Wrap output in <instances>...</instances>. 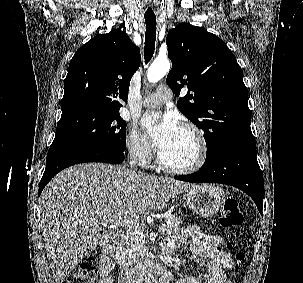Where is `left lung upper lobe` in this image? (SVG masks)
<instances>
[{"mask_svg": "<svg viewBox=\"0 0 303 283\" xmlns=\"http://www.w3.org/2000/svg\"><path fill=\"white\" fill-rule=\"evenodd\" d=\"M166 43L172 61L166 82L176 96L188 88L177 105L203 130L206 159L233 142L255 140L242 69L224 41L202 27L180 23Z\"/></svg>", "mask_w": 303, "mask_h": 283, "instance_id": "left-lung-upper-lobe-1", "label": "left lung upper lobe"}]
</instances>
